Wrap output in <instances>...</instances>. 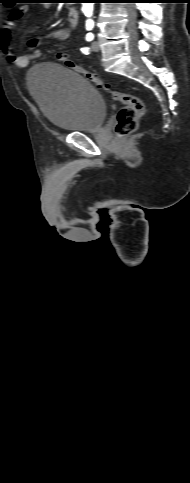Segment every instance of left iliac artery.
<instances>
[{
    "label": "left iliac artery",
    "mask_w": 190,
    "mask_h": 483,
    "mask_svg": "<svg viewBox=\"0 0 190 483\" xmlns=\"http://www.w3.org/2000/svg\"><path fill=\"white\" fill-rule=\"evenodd\" d=\"M94 39V35L92 33H88L86 35V40L87 41H92ZM82 53L84 54H89L90 49L88 47L81 48Z\"/></svg>",
    "instance_id": "44dca946"
}]
</instances>
